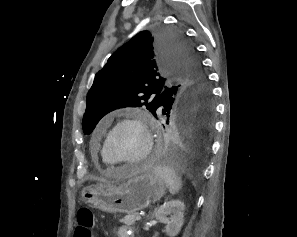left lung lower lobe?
I'll return each mask as SVG.
<instances>
[{"mask_svg":"<svg viewBox=\"0 0 297 237\" xmlns=\"http://www.w3.org/2000/svg\"><path fill=\"white\" fill-rule=\"evenodd\" d=\"M163 114L171 118L157 150L159 162L178 167H197L202 164L210 147L213 131L214 104H181L169 101Z\"/></svg>","mask_w":297,"mask_h":237,"instance_id":"left-lung-lower-lobe-1","label":"left lung lower lobe"}]
</instances>
